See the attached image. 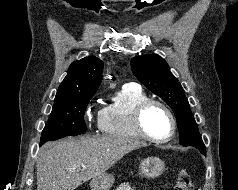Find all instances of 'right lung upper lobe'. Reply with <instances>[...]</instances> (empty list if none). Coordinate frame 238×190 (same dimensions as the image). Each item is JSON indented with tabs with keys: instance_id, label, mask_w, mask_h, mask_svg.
Masks as SVG:
<instances>
[{
	"instance_id": "right-lung-upper-lobe-1",
	"label": "right lung upper lobe",
	"mask_w": 238,
	"mask_h": 190,
	"mask_svg": "<svg viewBox=\"0 0 238 190\" xmlns=\"http://www.w3.org/2000/svg\"><path fill=\"white\" fill-rule=\"evenodd\" d=\"M102 70L103 62L94 56L72 62L57 90L55 102L80 94H95L101 82Z\"/></svg>"
}]
</instances>
